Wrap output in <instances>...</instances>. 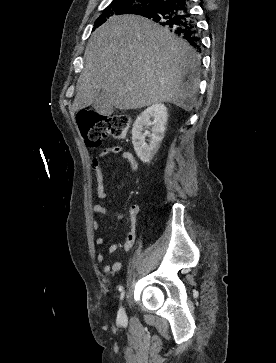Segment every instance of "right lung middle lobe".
<instances>
[{
	"instance_id": "obj_1",
	"label": "right lung middle lobe",
	"mask_w": 276,
	"mask_h": 363,
	"mask_svg": "<svg viewBox=\"0 0 276 363\" xmlns=\"http://www.w3.org/2000/svg\"><path fill=\"white\" fill-rule=\"evenodd\" d=\"M156 0H113L106 7L94 23V28L99 27L106 22L110 17L121 14H136L140 11L151 7Z\"/></svg>"
}]
</instances>
